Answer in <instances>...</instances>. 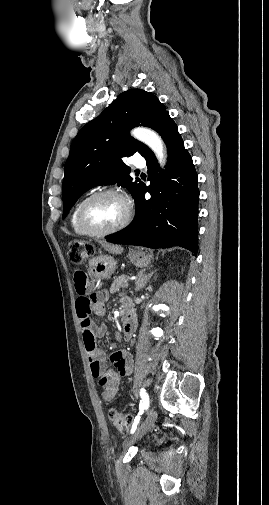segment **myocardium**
Segmentation results:
<instances>
[{"label":"myocardium","instance_id":"f54148a6","mask_svg":"<svg viewBox=\"0 0 269 505\" xmlns=\"http://www.w3.org/2000/svg\"><path fill=\"white\" fill-rule=\"evenodd\" d=\"M104 196H117L121 198L126 206V213L124 218L120 223L117 225L108 228V229H98L92 226L86 219V213L89 208V206L96 201L97 199L104 197ZM132 218V206L127 197L119 190L109 188V189H104L97 191L87 197L84 202L81 204L79 211H78V223L81 226V228L90 236H96V237H101V236H107L111 235L114 233H117L121 230H123L131 221Z\"/></svg>","mask_w":269,"mask_h":505}]
</instances>
